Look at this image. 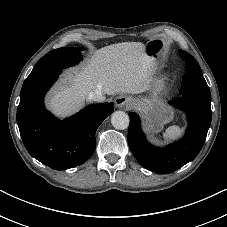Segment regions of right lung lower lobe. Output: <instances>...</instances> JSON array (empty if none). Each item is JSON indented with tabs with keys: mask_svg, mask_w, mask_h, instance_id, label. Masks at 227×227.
<instances>
[{
	"mask_svg": "<svg viewBox=\"0 0 227 227\" xmlns=\"http://www.w3.org/2000/svg\"><path fill=\"white\" fill-rule=\"evenodd\" d=\"M61 69L44 72L25 81L17 109V124L31 156L55 170L84 163L96 148L95 132L113 111V103L90 105L64 121L44 107V95Z\"/></svg>",
	"mask_w": 227,
	"mask_h": 227,
	"instance_id": "98d812e1",
	"label": "right lung lower lobe"
}]
</instances>
